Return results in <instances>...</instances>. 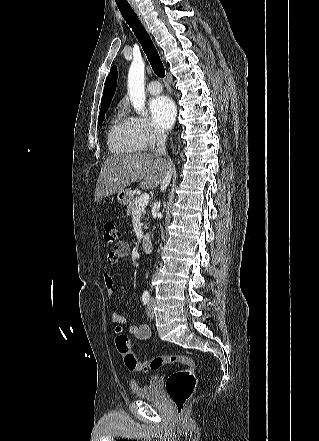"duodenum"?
<instances>
[{"instance_id": "duodenum-1", "label": "duodenum", "mask_w": 319, "mask_h": 441, "mask_svg": "<svg viewBox=\"0 0 319 441\" xmlns=\"http://www.w3.org/2000/svg\"><path fill=\"white\" fill-rule=\"evenodd\" d=\"M142 249L144 252L149 253L152 248L151 236L149 234H145L142 238Z\"/></svg>"}]
</instances>
